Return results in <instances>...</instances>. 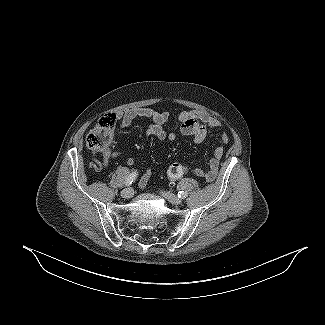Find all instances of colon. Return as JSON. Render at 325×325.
I'll list each match as a JSON object with an SVG mask.
<instances>
[{
    "label": "colon",
    "mask_w": 325,
    "mask_h": 325,
    "mask_svg": "<svg viewBox=\"0 0 325 325\" xmlns=\"http://www.w3.org/2000/svg\"><path fill=\"white\" fill-rule=\"evenodd\" d=\"M116 116L113 114L103 115L87 136V146L93 151L107 149L114 140ZM188 168L185 165L174 163L167 169V177L175 182L185 175Z\"/></svg>",
    "instance_id": "1"
}]
</instances>
